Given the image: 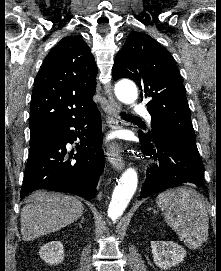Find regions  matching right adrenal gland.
I'll return each mask as SVG.
<instances>
[{
	"label": "right adrenal gland",
	"instance_id": "1",
	"mask_svg": "<svg viewBox=\"0 0 221 271\" xmlns=\"http://www.w3.org/2000/svg\"><path fill=\"white\" fill-rule=\"evenodd\" d=\"M83 219H84V217H82V219H80V223H78L79 227H82Z\"/></svg>",
	"mask_w": 221,
	"mask_h": 271
}]
</instances>
